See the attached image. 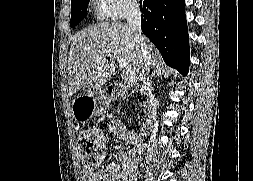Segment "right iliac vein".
I'll return each instance as SVG.
<instances>
[{"label": "right iliac vein", "mask_w": 253, "mask_h": 181, "mask_svg": "<svg viewBox=\"0 0 253 181\" xmlns=\"http://www.w3.org/2000/svg\"><path fill=\"white\" fill-rule=\"evenodd\" d=\"M145 181H154L152 175H147Z\"/></svg>", "instance_id": "right-iliac-vein-1"}]
</instances>
